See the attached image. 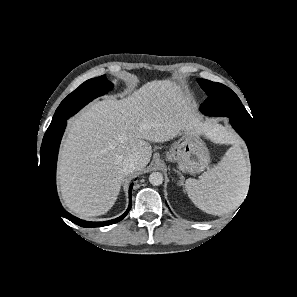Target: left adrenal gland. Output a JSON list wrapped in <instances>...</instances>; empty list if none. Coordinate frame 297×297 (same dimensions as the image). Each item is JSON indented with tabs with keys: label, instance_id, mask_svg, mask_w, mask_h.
<instances>
[{
	"label": "left adrenal gland",
	"instance_id": "obj_1",
	"mask_svg": "<svg viewBox=\"0 0 297 297\" xmlns=\"http://www.w3.org/2000/svg\"><path fill=\"white\" fill-rule=\"evenodd\" d=\"M175 172H177V174L180 176V179H181L180 182H179V185L183 186V190H184V192H186L185 189H184V176L178 170H175Z\"/></svg>",
	"mask_w": 297,
	"mask_h": 297
}]
</instances>
